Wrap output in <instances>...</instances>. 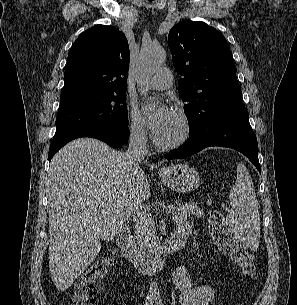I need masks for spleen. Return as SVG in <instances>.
<instances>
[{"instance_id":"3e777b00","label":"spleen","mask_w":297,"mask_h":305,"mask_svg":"<svg viewBox=\"0 0 297 305\" xmlns=\"http://www.w3.org/2000/svg\"><path fill=\"white\" fill-rule=\"evenodd\" d=\"M231 210L226 225L250 249H257L260 242V215L255 189L244 164L237 165V179L230 189Z\"/></svg>"}]
</instances>
